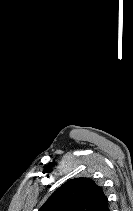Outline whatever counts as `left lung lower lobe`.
Segmentation results:
<instances>
[{
  "label": "left lung lower lobe",
  "mask_w": 133,
  "mask_h": 211,
  "mask_svg": "<svg viewBox=\"0 0 133 211\" xmlns=\"http://www.w3.org/2000/svg\"><path fill=\"white\" fill-rule=\"evenodd\" d=\"M96 211H109L108 201L102 204Z\"/></svg>",
  "instance_id": "left-lung-lower-lobe-1"
}]
</instances>
